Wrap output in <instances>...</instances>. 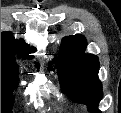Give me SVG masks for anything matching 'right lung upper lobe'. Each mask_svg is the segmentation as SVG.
Returning <instances> with one entry per match:
<instances>
[{"label": "right lung upper lobe", "instance_id": "obj_1", "mask_svg": "<svg viewBox=\"0 0 121 113\" xmlns=\"http://www.w3.org/2000/svg\"><path fill=\"white\" fill-rule=\"evenodd\" d=\"M31 52H34V50L29 49L23 40H15L12 33H1V66H7L18 71L13 54L18 53L20 56L31 58L29 56Z\"/></svg>", "mask_w": 121, "mask_h": 113}]
</instances>
